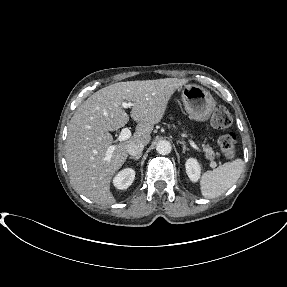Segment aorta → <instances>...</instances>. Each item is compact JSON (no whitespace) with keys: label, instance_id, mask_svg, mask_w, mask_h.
Here are the masks:
<instances>
[{"label":"aorta","instance_id":"762f6f07","mask_svg":"<svg viewBox=\"0 0 287 287\" xmlns=\"http://www.w3.org/2000/svg\"><path fill=\"white\" fill-rule=\"evenodd\" d=\"M172 146L171 143L167 140H160L156 145V151L160 155H167L171 152Z\"/></svg>","mask_w":287,"mask_h":287}]
</instances>
